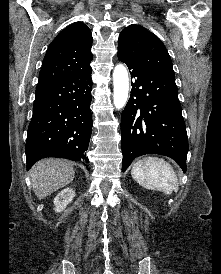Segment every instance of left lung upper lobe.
Masks as SVG:
<instances>
[{
  "label": "left lung upper lobe",
  "instance_id": "left-lung-upper-lobe-1",
  "mask_svg": "<svg viewBox=\"0 0 221 274\" xmlns=\"http://www.w3.org/2000/svg\"><path fill=\"white\" fill-rule=\"evenodd\" d=\"M118 51L144 66L175 78L171 58L159 38L139 25H129L118 38Z\"/></svg>",
  "mask_w": 221,
  "mask_h": 274
}]
</instances>
